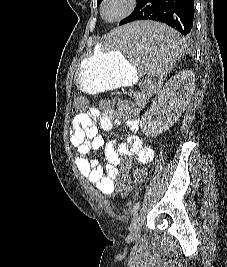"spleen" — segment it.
Wrapping results in <instances>:
<instances>
[{"instance_id": "3e777b00", "label": "spleen", "mask_w": 227, "mask_h": 267, "mask_svg": "<svg viewBox=\"0 0 227 267\" xmlns=\"http://www.w3.org/2000/svg\"><path fill=\"white\" fill-rule=\"evenodd\" d=\"M96 47H108V51H118V55H128L129 59H140L145 72L143 81H149L150 89L158 87L165 77H171V70L185 54L187 44L166 22L158 19H133L117 25L116 33L100 36Z\"/></svg>"}]
</instances>
